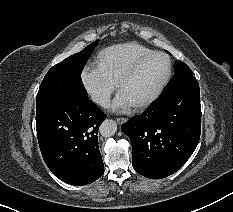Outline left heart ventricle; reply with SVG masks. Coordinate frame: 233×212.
I'll list each match as a JSON object with an SVG mask.
<instances>
[{"label":"left heart ventricle","instance_id":"1","mask_svg":"<svg viewBox=\"0 0 233 212\" xmlns=\"http://www.w3.org/2000/svg\"><path fill=\"white\" fill-rule=\"evenodd\" d=\"M167 71V61L163 56L155 55L147 59L136 74L128 80L121 91L130 101L137 104L146 99L159 85Z\"/></svg>","mask_w":233,"mask_h":212}]
</instances>
